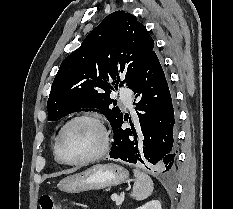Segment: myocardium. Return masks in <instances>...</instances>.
<instances>
[{
    "label": "myocardium",
    "instance_id": "1",
    "mask_svg": "<svg viewBox=\"0 0 233 209\" xmlns=\"http://www.w3.org/2000/svg\"><path fill=\"white\" fill-rule=\"evenodd\" d=\"M82 120L94 122L99 127L101 134H102L101 146L95 153L87 157H84L78 160H67L66 158L62 156L61 151H60L61 139L63 137L64 132L71 124L77 121H82ZM109 146H110V135H109L108 129L106 127V124L103 118L100 115L93 113V112H84V113H80L78 115L73 116L61 127V129L59 130L56 136L54 152H55L56 159L62 164L71 165V166L83 165V164L93 162L101 158L102 156H104L107 153Z\"/></svg>",
    "mask_w": 233,
    "mask_h": 209
}]
</instances>
